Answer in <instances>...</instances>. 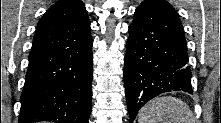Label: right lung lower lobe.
<instances>
[{
  "label": "right lung lower lobe",
  "instance_id": "right-lung-lower-lobe-1",
  "mask_svg": "<svg viewBox=\"0 0 221 123\" xmlns=\"http://www.w3.org/2000/svg\"><path fill=\"white\" fill-rule=\"evenodd\" d=\"M89 31L78 40L32 48L21 95L20 123H89L93 77Z\"/></svg>",
  "mask_w": 221,
  "mask_h": 123
}]
</instances>
